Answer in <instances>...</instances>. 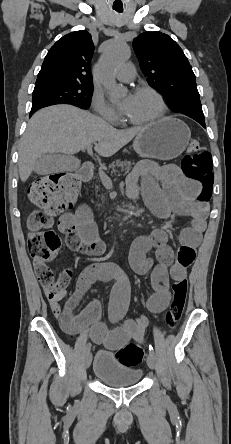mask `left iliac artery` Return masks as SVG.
<instances>
[{
    "label": "left iliac artery",
    "instance_id": "left-iliac-artery-1",
    "mask_svg": "<svg viewBox=\"0 0 231 444\" xmlns=\"http://www.w3.org/2000/svg\"><path fill=\"white\" fill-rule=\"evenodd\" d=\"M149 352L154 354V349H153L152 345H149Z\"/></svg>",
    "mask_w": 231,
    "mask_h": 444
}]
</instances>
